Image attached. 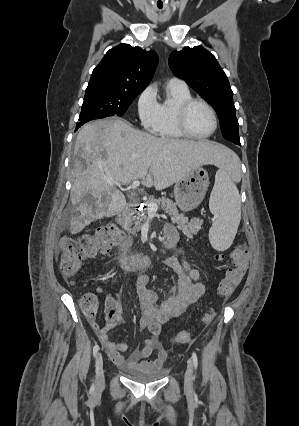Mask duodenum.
Wrapping results in <instances>:
<instances>
[{"mask_svg":"<svg viewBox=\"0 0 299 426\" xmlns=\"http://www.w3.org/2000/svg\"><path fill=\"white\" fill-rule=\"evenodd\" d=\"M136 208H137L136 205H130L119 216L118 222L121 226L125 225L127 219L134 213ZM164 244L167 248H170L173 245L172 241L167 236H165ZM129 246L130 244L128 241H124L121 244L120 253H119V262L123 269L127 271H134L146 265L148 262V258L145 255L129 254L128 252Z\"/></svg>","mask_w":299,"mask_h":426,"instance_id":"1","label":"duodenum"}]
</instances>
